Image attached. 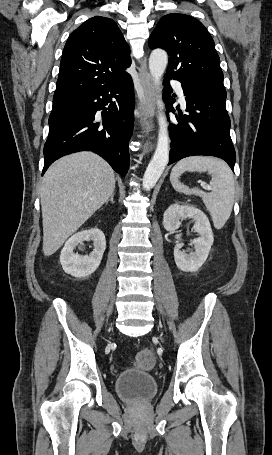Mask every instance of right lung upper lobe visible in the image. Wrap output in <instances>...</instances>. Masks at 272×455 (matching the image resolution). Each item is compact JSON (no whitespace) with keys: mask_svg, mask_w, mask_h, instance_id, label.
I'll use <instances>...</instances> for the list:
<instances>
[{"mask_svg":"<svg viewBox=\"0 0 272 455\" xmlns=\"http://www.w3.org/2000/svg\"><path fill=\"white\" fill-rule=\"evenodd\" d=\"M129 46L117 24L95 16L72 32L60 63L53 104L129 76Z\"/></svg>","mask_w":272,"mask_h":455,"instance_id":"obj_1","label":"right lung upper lobe"}]
</instances>
